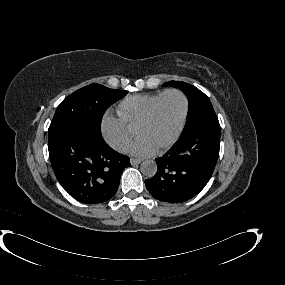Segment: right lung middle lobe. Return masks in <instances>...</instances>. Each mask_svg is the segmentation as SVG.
Instances as JSON below:
<instances>
[{
	"label": "right lung middle lobe",
	"instance_id": "obj_1",
	"mask_svg": "<svg viewBox=\"0 0 285 285\" xmlns=\"http://www.w3.org/2000/svg\"><path fill=\"white\" fill-rule=\"evenodd\" d=\"M128 91L90 84L70 94L58 106L48 130V141L71 128H84L101 134L105 111Z\"/></svg>",
	"mask_w": 285,
	"mask_h": 285
}]
</instances>
